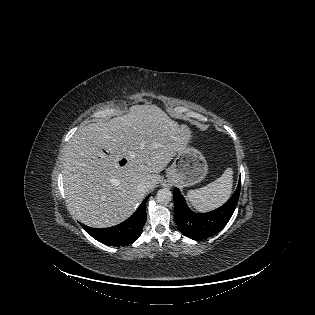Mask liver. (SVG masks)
I'll return each instance as SVG.
<instances>
[{
  "instance_id": "6515ba94",
  "label": "liver",
  "mask_w": 315,
  "mask_h": 315,
  "mask_svg": "<svg viewBox=\"0 0 315 315\" xmlns=\"http://www.w3.org/2000/svg\"><path fill=\"white\" fill-rule=\"evenodd\" d=\"M191 134L155 105H137L126 115L78 129L62 157L72 216L95 228L126 219L161 181L159 173L186 149ZM123 157L127 163L120 166ZM142 181L146 193L137 191Z\"/></svg>"
}]
</instances>
